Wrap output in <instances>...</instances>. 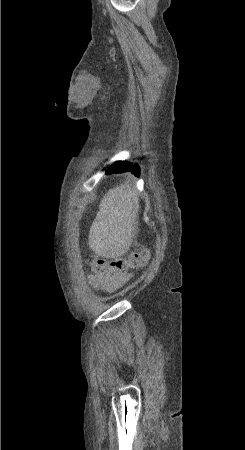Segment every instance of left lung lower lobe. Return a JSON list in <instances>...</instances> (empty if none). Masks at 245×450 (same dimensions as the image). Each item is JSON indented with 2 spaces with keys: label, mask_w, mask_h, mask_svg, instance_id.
I'll use <instances>...</instances> for the list:
<instances>
[{
  "label": "left lung lower lobe",
  "mask_w": 245,
  "mask_h": 450,
  "mask_svg": "<svg viewBox=\"0 0 245 450\" xmlns=\"http://www.w3.org/2000/svg\"><path fill=\"white\" fill-rule=\"evenodd\" d=\"M126 171H131L134 175L139 176V167L137 165H133L132 163L129 162H122V161H117L114 164L110 165L107 168V173L111 174V173H122V172H126Z\"/></svg>",
  "instance_id": "obj_1"
}]
</instances>
